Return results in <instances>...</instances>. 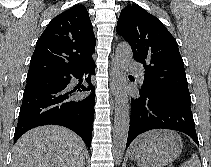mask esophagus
Segmentation results:
<instances>
[{
  "mask_svg": "<svg viewBox=\"0 0 211 167\" xmlns=\"http://www.w3.org/2000/svg\"><path fill=\"white\" fill-rule=\"evenodd\" d=\"M115 68L114 65L112 64L111 68V76H110V91L111 94L114 96L116 93V78H115Z\"/></svg>",
  "mask_w": 211,
  "mask_h": 167,
  "instance_id": "esophagus-1",
  "label": "esophagus"
}]
</instances>
